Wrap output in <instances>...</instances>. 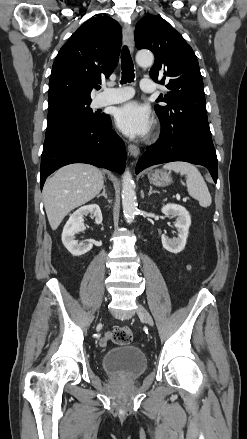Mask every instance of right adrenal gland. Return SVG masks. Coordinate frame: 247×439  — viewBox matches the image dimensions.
Masks as SVG:
<instances>
[{
	"mask_svg": "<svg viewBox=\"0 0 247 439\" xmlns=\"http://www.w3.org/2000/svg\"><path fill=\"white\" fill-rule=\"evenodd\" d=\"M101 196H104L106 199L108 198L106 194V186H103V192L97 195V198H100Z\"/></svg>",
	"mask_w": 247,
	"mask_h": 439,
	"instance_id": "right-adrenal-gland-1",
	"label": "right adrenal gland"
}]
</instances>
